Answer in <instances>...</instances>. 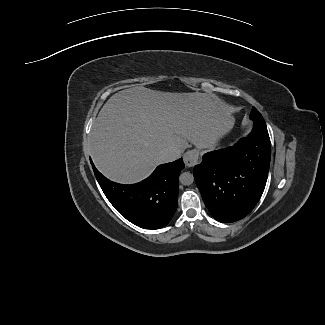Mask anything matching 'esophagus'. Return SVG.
Returning <instances> with one entry per match:
<instances>
[{
    "instance_id": "1",
    "label": "esophagus",
    "mask_w": 325,
    "mask_h": 325,
    "mask_svg": "<svg viewBox=\"0 0 325 325\" xmlns=\"http://www.w3.org/2000/svg\"><path fill=\"white\" fill-rule=\"evenodd\" d=\"M183 159L187 167H193L198 163L199 153L195 149L189 150L184 154Z\"/></svg>"
}]
</instances>
